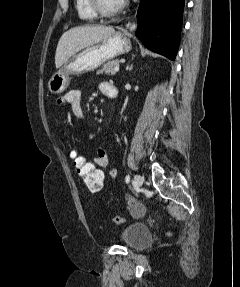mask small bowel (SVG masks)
Segmentation results:
<instances>
[{
	"mask_svg": "<svg viewBox=\"0 0 240 287\" xmlns=\"http://www.w3.org/2000/svg\"><path fill=\"white\" fill-rule=\"evenodd\" d=\"M114 86L108 82H102L99 85L100 91L108 96L109 92ZM59 106L69 105L72 114L79 124L83 121V108H82V95L79 90H69L63 96H60L57 100ZM93 162L101 170L109 167V158L104 147H100L97 154L93 157ZM117 177V169L111 168L109 170V180L113 181ZM126 203L128 205L129 211L133 215H140L145 211L144 205L135 199L131 195L125 196Z\"/></svg>",
	"mask_w": 240,
	"mask_h": 287,
	"instance_id": "c3829d8e",
	"label": "small bowel"
}]
</instances>
